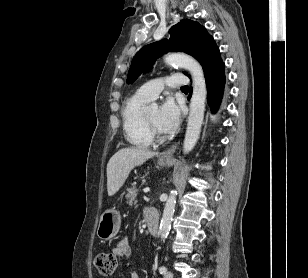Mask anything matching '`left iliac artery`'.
<instances>
[{
    "label": "left iliac artery",
    "instance_id": "obj_1",
    "mask_svg": "<svg viewBox=\"0 0 308 278\" xmlns=\"http://www.w3.org/2000/svg\"><path fill=\"white\" fill-rule=\"evenodd\" d=\"M166 271H167V268H166L165 266H161V267L159 268V272H160L161 274H165Z\"/></svg>",
    "mask_w": 308,
    "mask_h": 278
}]
</instances>
